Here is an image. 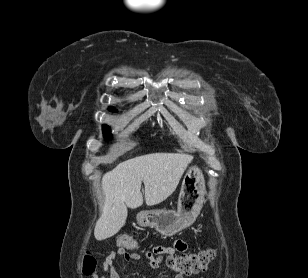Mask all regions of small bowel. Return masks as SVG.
Wrapping results in <instances>:
<instances>
[{
    "instance_id": "small-bowel-1",
    "label": "small bowel",
    "mask_w": 308,
    "mask_h": 278,
    "mask_svg": "<svg viewBox=\"0 0 308 278\" xmlns=\"http://www.w3.org/2000/svg\"><path fill=\"white\" fill-rule=\"evenodd\" d=\"M187 249V244L182 240H177L173 245H157L152 249L144 250L142 254L137 252H127L122 247L115 251H112L103 261L102 267L105 272V276L102 278H120L114 268V260L117 258H123L127 262H138L142 257L148 259L153 267L157 266V260L155 256L158 255H174L177 252H184ZM93 278H98L96 275ZM174 278H183L182 274H176Z\"/></svg>"
}]
</instances>
